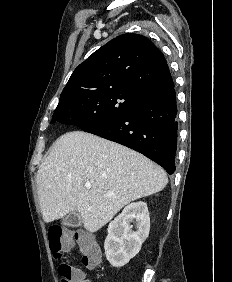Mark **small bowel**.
<instances>
[{"mask_svg":"<svg viewBox=\"0 0 232 282\" xmlns=\"http://www.w3.org/2000/svg\"><path fill=\"white\" fill-rule=\"evenodd\" d=\"M78 274L81 277V281L80 282H92L90 279H87L85 277V273L82 270L78 269Z\"/></svg>","mask_w":232,"mask_h":282,"instance_id":"c3829d8e","label":"small bowel"}]
</instances>
